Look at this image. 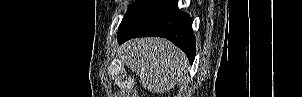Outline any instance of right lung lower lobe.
<instances>
[{
	"mask_svg": "<svg viewBox=\"0 0 302 97\" xmlns=\"http://www.w3.org/2000/svg\"><path fill=\"white\" fill-rule=\"evenodd\" d=\"M145 36L169 39L193 63L196 50L192 20L179 11L176 0H146L118 30L119 43Z\"/></svg>",
	"mask_w": 302,
	"mask_h": 97,
	"instance_id": "obj_1",
	"label": "right lung lower lobe"
}]
</instances>
